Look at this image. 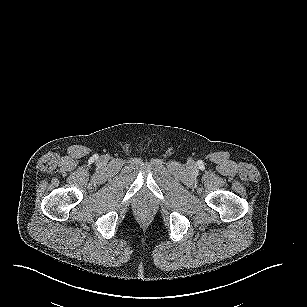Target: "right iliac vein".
<instances>
[{"mask_svg": "<svg viewBox=\"0 0 307 307\" xmlns=\"http://www.w3.org/2000/svg\"><path fill=\"white\" fill-rule=\"evenodd\" d=\"M103 160H104V159H103V158H101V159H100V162H102Z\"/></svg>", "mask_w": 307, "mask_h": 307, "instance_id": "1", "label": "right iliac vein"}]
</instances>
